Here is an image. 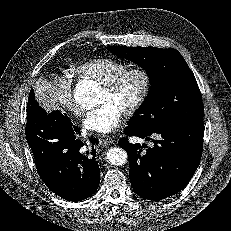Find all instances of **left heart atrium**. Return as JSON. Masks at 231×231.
<instances>
[{
	"instance_id": "1",
	"label": "left heart atrium",
	"mask_w": 231,
	"mask_h": 231,
	"mask_svg": "<svg viewBox=\"0 0 231 231\" xmlns=\"http://www.w3.org/2000/svg\"><path fill=\"white\" fill-rule=\"evenodd\" d=\"M124 118V112L113 102H105L89 111L83 121L87 131L106 134L116 129Z\"/></svg>"
}]
</instances>
